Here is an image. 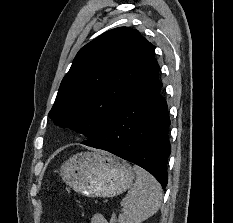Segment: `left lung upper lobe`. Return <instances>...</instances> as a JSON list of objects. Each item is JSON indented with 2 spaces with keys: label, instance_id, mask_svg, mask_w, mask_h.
<instances>
[{
  "label": "left lung upper lobe",
  "instance_id": "5c2ea615",
  "mask_svg": "<svg viewBox=\"0 0 233 223\" xmlns=\"http://www.w3.org/2000/svg\"><path fill=\"white\" fill-rule=\"evenodd\" d=\"M155 46L118 27L82 47L63 78L49 117L88 143L128 100L155 64Z\"/></svg>",
  "mask_w": 233,
  "mask_h": 223
}]
</instances>
